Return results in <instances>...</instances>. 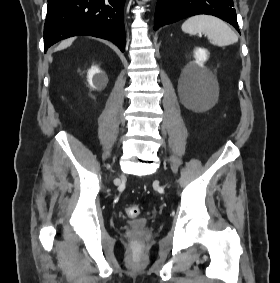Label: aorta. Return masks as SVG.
<instances>
[{"label": "aorta", "mask_w": 280, "mask_h": 283, "mask_svg": "<svg viewBox=\"0 0 280 283\" xmlns=\"http://www.w3.org/2000/svg\"><path fill=\"white\" fill-rule=\"evenodd\" d=\"M144 2H147V1H149V0H143Z\"/></svg>", "instance_id": "1"}]
</instances>
